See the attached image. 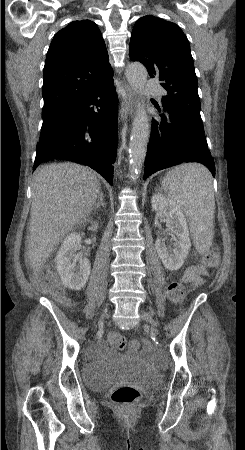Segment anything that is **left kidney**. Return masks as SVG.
<instances>
[{
  "instance_id": "5707ae66",
  "label": "left kidney",
  "mask_w": 245,
  "mask_h": 450,
  "mask_svg": "<svg viewBox=\"0 0 245 450\" xmlns=\"http://www.w3.org/2000/svg\"><path fill=\"white\" fill-rule=\"evenodd\" d=\"M151 204L152 211L166 217V226L175 236L172 247L166 246L160 238L156 240L158 256L168 270L176 271L183 265L191 247L185 216L180 206L160 193L152 196Z\"/></svg>"
}]
</instances>
